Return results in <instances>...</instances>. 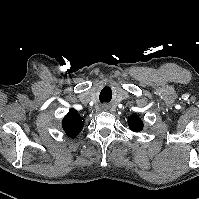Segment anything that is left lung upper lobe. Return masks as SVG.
Instances as JSON below:
<instances>
[{
  "mask_svg": "<svg viewBox=\"0 0 199 199\" xmlns=\"http://www.w3.org/2000/svg\"><path fill=\"white\" fill-rule=\"evenodd\" d=\"M128 125L129 128L134 132H139L143 128L142 120L137 115L131 116L128 119Z\"/></svg>",
  "mask_w": 199,
  "mask_h": 199,
  "instance_id": "obj_1",
  "label": "left lung upper lobe"
}]
</instances>
